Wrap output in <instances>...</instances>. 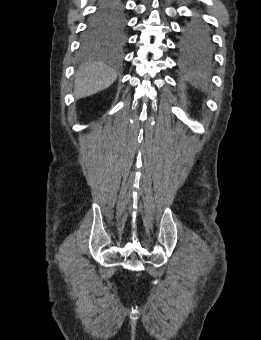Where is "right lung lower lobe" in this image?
Masks as SVG:
<instances>
[{"mask_svg":"<svg viewBox=\"0 0 261 340\" xmlns=\"http://www.w3.org/2000/svg\"><path fill=\"white\" fill-rule=\"evenodd\" d=\"M123 0H99L97 13L114 15L123 12Z\"/></svg>","mask_w":261,"mask_h":340,"instance_id":"98d812e1","label":"right lung lower lobe"}]
</instances>
